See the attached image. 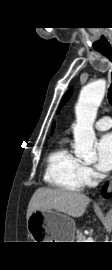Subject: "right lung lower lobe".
Here are the masks:
<instances>
[{"mask_svg":"<svg viewBox=\"0 0 112 270\" xmlns=\"http://www.w3.org/2000/svg\"><path fill=\"white\" fill-rule=\"evenodd\" d=\"M105 190H106V186L103 188V190H102V193L104 194L105 193ZM110 195L108 194V195H105V197H109Z\"/></svg>","mask_w":112,"mask_h":270,"instance_id":"obj_1","label":"right lung lower lobe"}]
</instances>
